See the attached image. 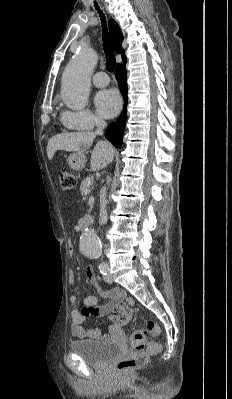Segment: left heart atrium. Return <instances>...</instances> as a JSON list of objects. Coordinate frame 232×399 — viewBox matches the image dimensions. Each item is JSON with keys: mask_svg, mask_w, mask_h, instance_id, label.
Here are the masks:
<instances>
[{"mask_svg": "<svg viewBox=\"0 0 232 399\" xmlns=\"http://www.w3.org/2000/svg\"><path fill=\"white\" fill-rule=\"evenodd\" d=\"M97 112L101 117L114 118L121 109V101L114 90H104L99 92L95 98Z\"/></svg>", "mask_w": 232, "mask_h": 399, "instance_id": "1", "label": "left heart atrium"}]
</instances>
